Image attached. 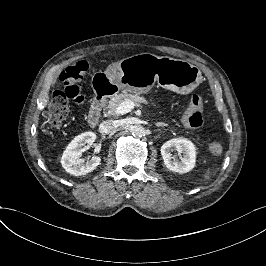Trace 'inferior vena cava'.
<instances>
[{
  "label": "inferior vena cava",
  "instance_id": "1",
  "mask_svg": "<svg viewBox=\"0 0 266 266\" xmlns=\"http://www.w3.org/2000/svg\"><path fill=\"white\" fill-rule=\"evenodd\" d=\"M98 131L101 134H110L115 131V124L112 120H106L100 123Z\"/></svg>",
  "mask_w": 266,
  "mask_h": 266
}]
</instances>
